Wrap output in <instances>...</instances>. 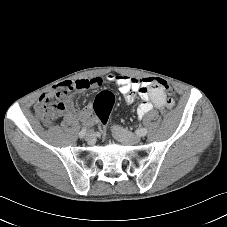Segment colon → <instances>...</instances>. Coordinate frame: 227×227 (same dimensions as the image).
<instances>
[{
	"label": "colon",
	"instance_id": "1",
	"mask_svg": "<svg viewBox=\"0 0 227 227\" xmlns=\"http://www.w3.org/2000/svg\"><path fill=\"white\" fill-rule=\"evenodd\" d=\"M160 85L163 87L166 93L172 94V89L165 81H159ZM114 95L112 92L104 90L101 91L95 98L94 110L98 120L101 123H106L111 109L114 105Z\"/></svg>",
	"mask_w": 227,
	"mask_h": 227
}]
</instances>
